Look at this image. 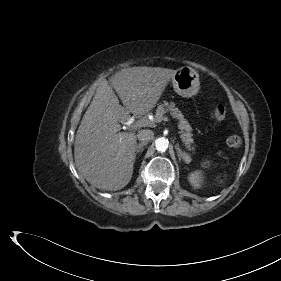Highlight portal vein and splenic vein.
Segmentation results:
<instances>
[{"instance_id":"18ae733b","label":"portal vein and splenic vein","mask_w":281,"mask_h":281,"mask_svg":"<svg viewBox=\"0 0 281 281\" xmlns=\"http://www.w3.org/2000/svg\"><path fill=\"white\" fill-rule=\"evenodd\" d=\"M163 120L170 121V119L168 117H164ZM129 125H131V123H129ZM145 125H154V122H151L147 119H142V120L137 121L132 127H133V129H137V128H140Z\"/></svg>"}]
</instances>
